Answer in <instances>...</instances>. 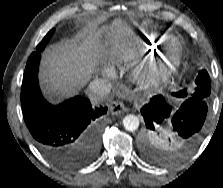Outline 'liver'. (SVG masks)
<instances>
[{
    "label": "liver",
    "mask_w": 223,
    "mask_h": 188,
    "mask_svg": "<svg viewBox=\"0 0 223 188\" xmlns=\"http://www.w3.org/2000/svg\"><path fill=\"white\" fill-rule=\"evenodd\" d=\"M109 29L106 53L115 59L128 50L120 35L125 27L119 20H114ZM104 31L105 27L89 26L74 38L61 41L43 53L40 81L46 95L60 99L83 87L98 64L99 41Z\"/></svg>",
    "instance_id": "obj_1"
}]
</instances>
